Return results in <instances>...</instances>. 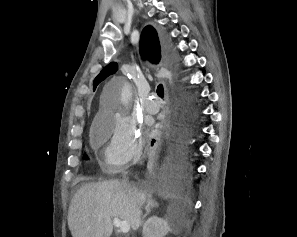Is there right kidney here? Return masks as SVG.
Masks as SVG:
<instances>
[{"instance_id": "1", "label": "right kidney", "mask_w": 297, "mask_h": 237, "mask_svg": "<svg viewBox=\"0 0 297 237\" xmlns=\"http://www.w3.org/2000/svg\"><path fill=\"white\" fill-rule=\"evenodd\" d=\"M168 223L158 216H151L143 226V237H164L168 234Z\"/></svg>"}]
</instances>
